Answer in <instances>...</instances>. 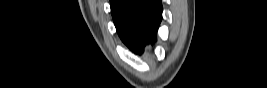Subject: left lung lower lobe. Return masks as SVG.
Listing matches in <instances>:
<instances>
[{
	"mask_svg": "<svg viewBox=\"0 0 267 88\" xmlns=\"http://www.w3.org/2000/svg\"><path fill=\"white\" fill-rule=\"evenodd\" d=\"M111 13L122 41L141 53L144 45L153 43L162 18L159 0H111Z\"/></svg>",
	"mask_w": 267,
	"mask_h": 88,
	"instance_id": "left-lung-lower-lobe-1",
	"label": "left lung lower lobe"
}]
</instances>
